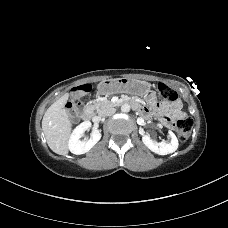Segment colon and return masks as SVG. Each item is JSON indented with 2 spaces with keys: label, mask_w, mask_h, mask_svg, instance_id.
Segmentation results:
<instances>
[{
  "label": "colon",
  "mask_w": 228,
  "mask_h": 228,
  "mask_svg": "<svg viewBox=\"0 0 228 228\" xmlns=\"http://www.w3.org/2000/svg\"><path fill=\"white\" fill-rule=\"evenodd\" d=\"M91 87L88 84L80 85L73 90V98L68 102L67 108L71 112H77L83 105L89 101ZM178 98L175 90L163 83L157 86V99L159 102H174ZM193 121L191 119H182L177 122L176 128L179 139L186 141L192 131Z\"/></svg>",
  "instance_id": "1"
}]
</instances>
